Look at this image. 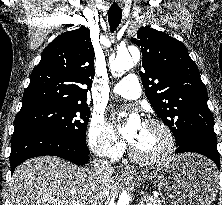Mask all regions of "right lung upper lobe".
I'll return each instance as SVG.
<instances>
[{"mask_svg":"<svg viewBox=\"0 0 222 205\" xmlns=\"http://www.w3.org/2000/svg\"><path fill=\"white\" fill-rule=\"evenodd\" d=\"M93 78L94 48L89 29L82 26L65 32L43 50L24 91L20 112L50 104H85Z\"/></svg>","mask_w":222,"mask_h":205,"instance_id":"1","label":"right lung upper lobe"}]
</instances>
